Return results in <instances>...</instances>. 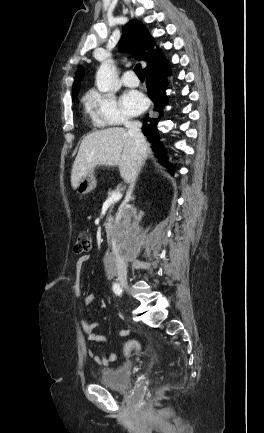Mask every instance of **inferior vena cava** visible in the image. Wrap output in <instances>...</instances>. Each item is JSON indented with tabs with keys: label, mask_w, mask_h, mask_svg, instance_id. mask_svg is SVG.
Segmentation results:
<instances>
[{
	"label": "inferior vena cava",
	"mask_w": 264,
	"mask_h": 433,
	"mask_svg": "<svg viewBox=\"0 0 264 433\" xmlns=\"http://www.w3.org/2000/svg\"><path fill=\"white\" fill-rule=\"evenodd\" d=\"M125 127H127L128 129V133L130 135L133 136L134 140H135V144H136V151L138 154V169L141 167V165L143 164L145 158H146V150H147V143H146V139L141 131V127L142 124L139 121H128L125 120L124 122ZM137 175H134L131 180L129 181V189L127 191V195H126V201H128L131 198V194L134 188V184H135V179H136ZM126 203V202H125ZM125 203H123L121 210H120V215L119 217L122 219V209L123 207H125ZM123 220V219H122ZM120 237H125V233L124 232H120ZM120 242H124V241H119ZM124 254L123 251H118L116 253V267H117V273H118V277L122 278V279H126L127 277V269H126V264L123 261L124 258Z\"/></svg>",
	"instance_id": "602c4592"
}]
</instances>
